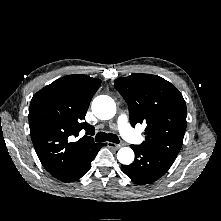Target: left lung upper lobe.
<instances>
[{"instance_id": "5c2ea615", "label": "left lung upper lobe", "mask_w": 221, "mask_h": 221, "mask_svg": "<svg viewBox=\"0 0 221 221\" xmlns=\"http://www.w3.org/2000/svg\"><path fill=\"white\" fill-rule=\"evenodd\" d=\"M114 87L128 104L131 124H146L141 146L176 157L187 125L182 94L170 82L150 74L118 78Z\"/></svg>"}]
</instances>
